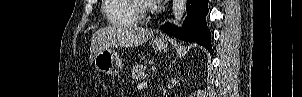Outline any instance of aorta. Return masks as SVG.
<instances>
[{
    "instance_id": "obj_1",
    "label": "aorta",
    "mask_w": 302,
    "mask_h": 97,
    "mask_svg": "<svg viewBox=\"0 0 302 97\" xmlns=\"http://www.w3.org/2000/svg\"><path fill=\"white\" fill-rule=\"evenodd\" d=\"M186 8V0H173L172 9H173V17L176 26H180L184 19Z\"/></svg>"
}]
</instances>
